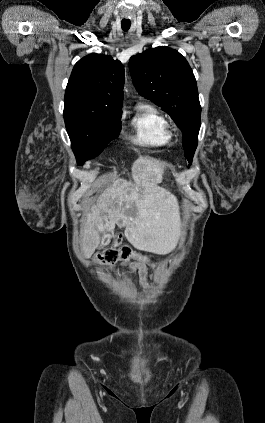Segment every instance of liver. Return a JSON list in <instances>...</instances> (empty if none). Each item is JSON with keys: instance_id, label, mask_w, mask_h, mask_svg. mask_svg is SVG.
<instances>
[{"instance_id": "6515ba94", "label": "liver", "mask_w": 265, "mask_h": 423, "mask_svg": "<svg viewBox=\"0 0 265 423\" xmlns=\"http://www.w3.org/2000/svg\"><path fill=\"white\" fill-rule=\"evenodd\" d=\"M132 178L143 188L116 178L97 199L84 222L81 249L90 258L100 244V234L125 227V237L138 250L165 255L173 251L181 234L177 199L158 185L163 179L159 161L141 157L133 163ZM132 206L135 216H130Z\"/></svg>"}]
</instances>
